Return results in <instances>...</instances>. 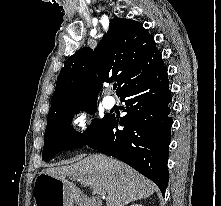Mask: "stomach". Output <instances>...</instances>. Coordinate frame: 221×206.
I'll return each instance as SVG.
<instances>
[{
  "instance_id": "0dacf381",
  "label": "stomach",
  "mask_w": 221,
  "mask_h": 206,
  "mask_svg": "<svg viewBox=\"0 0 221 206\" xmlns=\"http://www.w3.org/2000/svg\"><path fill=\"white\" fill-rule=\"evenodd\" d=\"M80 191L69 183L47 174H39L34 206H73L81 201Z\"/></svg>"
}]
</instances>
